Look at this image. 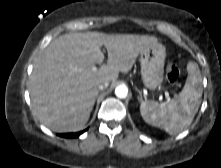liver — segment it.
I'll use <instances>...</instances> for the list:
<instances>
[{
	"label": "liver",
	"mask_w": 221,
	"mask_h": 168,
	"mask_svg": "<svg viewBox=\"0 0 221 168\" xmlns=\"http://www.w3.org/2000/svg\"><path fill=\"white\" fill-rule=\"evenodd\" d=\"M148 35L82 32L52 41L36 61L29 79L33 113L54 132H76L88 122L99 84L129 72L144 49L157 45ZM108 53L107 64L93 71Z\"/></svg>",
	"instance_id": "liver-1"
}]
</instances>
